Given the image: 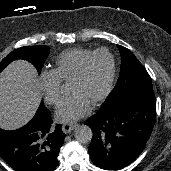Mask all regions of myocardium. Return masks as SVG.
Masks as SVG:
<instances>
[{
    "mask_svg": "<svg viewBox=\"0 0 171 171\" xmlns=\"http://www.w3.org/2000/svg\"><path fill=\"white\" fill-rule=\"evenodd\" d=\"M99 54H105V55H107L109 57L110 63H111V70H110V76H109L107 86H106L104 92L102 93V95L93 104L94 107L99 106L100 104H102L109 97V95L111 94V92L113 90L114 82H115V78H116V59H115L114 54L111 51H109L108 49H106V48H101V49L93 51L90 55H88L81 62L78 69L76 70V72L73 74V76L70 79V81L80 79L84 75L89 62L95 56H97Z\"/></svg>",
    "mask_w": 171,
    "mask_h": 171,
    "instance_id": "myocardium-1",
    "label": "myocardium"
}]
</instances>
